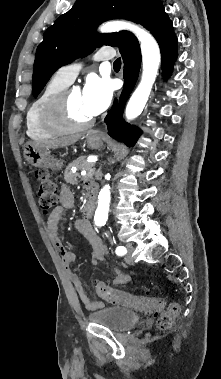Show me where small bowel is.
<instances>
[{
  "label": "small bowel",
  "mask_w": 221,
  "mask_h": 379,
  "mask_svg": "<svg viewBox=\"0 0 221 379\" xmlns=\"http://www.w3.org/2000/svg\"><path fill=\"white\" fill-rule=\"evenodd\" d=\"M60 206L56 208L49 216L46 224V232L49 236L52 244L58 249L62 265L65 268L67 275L75 287L76 293L81 300V302L90 310L100 308L102 303L100 301H93L89 298L84 290L83 284L79 276L71 271L70 267L75 261V255L69 249H67L60 237H59V226L61 220L63 219L67 210L71 209L74 205V196L72 192L65 186L62 187L60 191ZM75 228L80 232L90 243L92 247L91 263L96 264L99 261L104 260L107 254V247L102 242L96 231L93 229L89 218L84 216L75 222ZM130 276L123 273L120 269L114 270V278L109 282L115 285L126 284L130 281Z\"/></svg>",
  "instance_id": "1"
}]
</instances>
